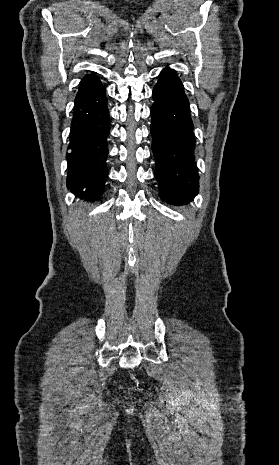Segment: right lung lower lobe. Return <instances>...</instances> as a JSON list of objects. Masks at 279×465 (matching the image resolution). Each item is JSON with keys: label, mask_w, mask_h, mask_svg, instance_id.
Returning <instances> with one entry per match:
<instances>
[{"label": "right lung lower lobe", "mask_w": 279, "mask_h": 465, "mask_svg": "<svg viewBox=\"0 0 279 465\" xmlns=\"http://www.w3.org/2000/svg\"><path fill=\"white\" fill-rule=\"evenodd\" d=\"M67 152V187L80 198L100 197L108 177L110 131L105 87L97 78L79 85Z\"/></svg>", "instance_id": "1"}]
</instances>
